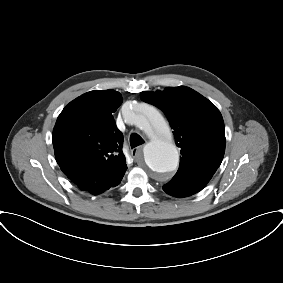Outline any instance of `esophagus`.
I'll return each instance as SVG.
<instances>
[{
    "instance_id": "esophagus-1",
    "label": "esophagus",
    "mask_w": 283,
    "mask_h": 283,
    "mask_svg": "<svg viewBox=\"0 0 283 283\" xmlns=\"http://www.w3.org/2000/svg\"><path fill=\"white\" fill-rule=\"evenodd\" d=\"M141 152H142V146H139L131 150V155L134 159H137L140 156Z\"/></svg>"
}]
</instances>
